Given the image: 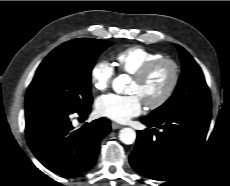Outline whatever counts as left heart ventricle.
<instances>
[{
    "label": "left heart ventricle",
    "mask_w": 230,
    "mask_h": 186,
    "mask_svg": "<svg viewBox=\"0 0 230 186\" xmlns=\"http://www.w3.org/2000/svg\"><path fill=\"white\" fill-rule=\"evenodd\" d=\"M170 79V67L161 66L144 83L139 84L133 80L130 93L138 95L143 102L154 101L166 90Z\"/></svg>",
    "instance_id": "b2bd125f"
}]
</instances>
